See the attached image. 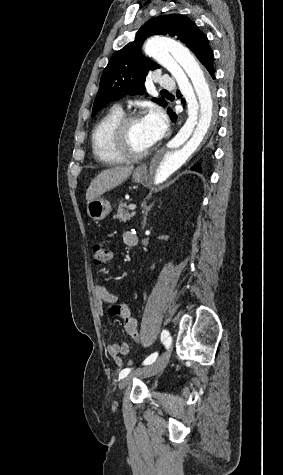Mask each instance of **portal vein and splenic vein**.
Listing matches in <instances>:
<instances>
[{"label":"portal vein and splenic vein","mask_w":283,"mask_h":475,"mask_svg":"<svg viewBox=\"0 0 283 475\" xmlns=\"http://www.w3.org/2000/svg\"><path fill=\"white\" fill-rule=\"evenodd\" d=\"M128 208L129 210H135L136 206L135 204H129Z\"/></svg>","instance_id":"portal-vein-and-splenic-vein-1"}]
</instances>
